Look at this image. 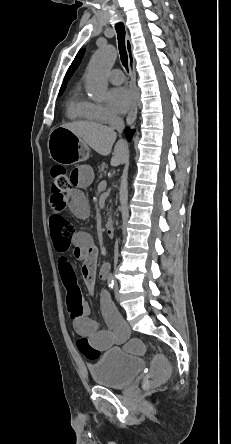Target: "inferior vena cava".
Returning <instances> with one entry per match:
<instances>
[{
	"label": "inferior vena cava",
	"mask_w": 231,
	"mask_h": 444,
	"mask_svg": "<svg viewBox=\"0 0 231 444\" xmlns=\"http://www.w3.org/2000/svg\"><path fill=\"white\" fill-rule=\"evenodd\" d=\"M124 121L121 117L117 116V115H113L111 120H110V128L112 130H117L118 132H122L124 129ZM118 232H120L122 229L120 227H118L116 229ZM118 256V245L116 244L115 247V259H117Z\"/></svg>",
	"instance_id": "1"
}]
</instances>
